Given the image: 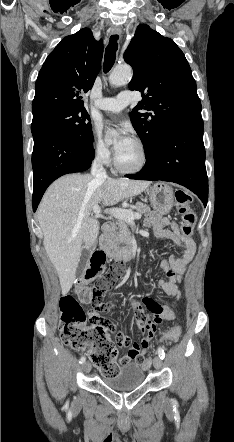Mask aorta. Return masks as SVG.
I'll use <instances>...</instances> for the list:
<instances>
[{"mask_svg": "<svg viewBox=\"0 0 234 442\" xmlns=\"http://www.w3.org/2000/svg\"><path fill=\"white\" fill-rule=\"evenodd\" d=\"M132 78V68L129 65L117 66L109 76V82L113 86H122ZM109 141V140H108Z\"/></svg>", "mask_w": 234, "mask_h": 442, "instance_id": "1", "label": "aorta"}]
</instances>
